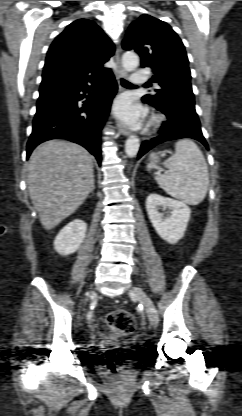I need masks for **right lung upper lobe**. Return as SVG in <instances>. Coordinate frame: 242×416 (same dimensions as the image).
Wrapping results in <instances>:
<instances>
[{"instance_id": "cb5924a9", "label": "right lung upper lobe", "mask_w": 242, "mask_h": 416, "mask_svg": "<svg viewBox=\"0 0 242 416\" xmlns=\"http://www.w3.org/2000/svg\"><path fill=\"white\" fill-rule=\"evenodd\" d=\"M114 50V44L95 22L87 19L72 22L47 52L39 92L89 83L110 73L103 64Z\"/></svg>"}]
</instances>
